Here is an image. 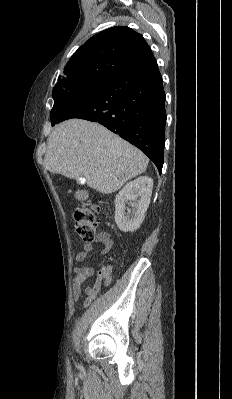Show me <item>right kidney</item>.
I'll list each match as a JSON object with an SVG mask.
<instances>
[{"label": "right kidney", "instance_id": "ca27d5eb", "mask_svg": "<svg viewBox=\"0 0 232 399\" xmlns=\"http://www.w3.org/2000/svg\"><path fill=\"white\" fill-rule=\"evenodd\" d=\"M153 180L149 176H140L129 182L115 198V221L121 231H135L140 227L145 211L152 196ZM126 203L132 205V211H126Z\"/></svg>", "mask_w": 232, "mask_h": 399}]
</instances>
